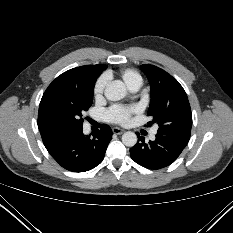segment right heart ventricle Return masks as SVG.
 Instances as JSON below:
<instances>
[{
	"mask_svg": "<svg viewBox=\"0 0 233 233\" xmlns=\"http://www.w3.org/2000/svg\"><path fill=\"white\" fill-rule=\"evenodd\" d=\"M121 77L128 87H130L131 85H133L138 81H141L140 74L134 69H130V68L123 69L121 71Z\"/></svg>",
	"mask_w": 233,
	"mask_h": 233,
	"instance_id": "1",
	"label": "right heart ventricle"
}]
</instances>
